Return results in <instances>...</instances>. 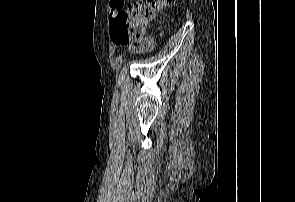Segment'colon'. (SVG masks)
<instances>
[{"label": "colon", "mask_w": 295, "mask_h": 202, "mask_svg": "<svg viewBox=\"0 0 295 202\" xmlns=\"http://www.w3.org/2000/svg\"><path fill=\"white\" fill-rule=\"evenodd\" d=\"M175 0H138L123 9L114 19L112 39L118 44H129L137 51H144L150 43L144 39L147 29L157 15L172 6Z\"/></svg>", "instance_id": "obj_1"}]
</instances>
